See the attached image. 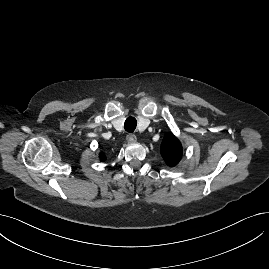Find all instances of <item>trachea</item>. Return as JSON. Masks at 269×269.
I'll return each mask as SVG.
<instances>
[{"label":"trachea","instance_id":"3493384b","mask_svg":"<svg viewBox=\"0 0 269 269\" xmlns=\"http://www.w3.org/2000/svg\"><path fill=\"white\" fill-rule=\"evenodd\" d=\"M136 126H137V120L134 117H128L125 120L124 129L127 132L132 133L135 130Z\"/></svg>","mask_w":269,"mask_h":269}]
</instances>
